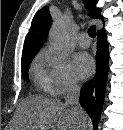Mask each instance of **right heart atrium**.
I'll return each instance as SVG.
<instances>
[{
    "instance_id": "1",
    "label": "right heart atrium",
    "mask_w": 123,
    "mask_h": 130,
    "mask_svg": "<svg viewBox=\"0 0 123 130\" xmlns=\"http://www.w3.org/2000/svg\"><path fill=\"white\" fill-rule=\"evenodd\" d=\"M39 58L42 75L52 95L62 96L79 87V81L65 56L45 49Z\"/></svg>"
}]
</instances>
